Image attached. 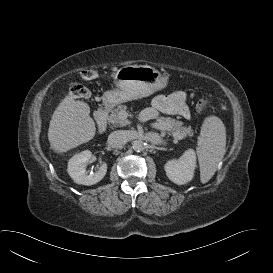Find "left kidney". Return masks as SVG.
<instances>
[{"label": "left kidney", "mask_w": 273, "mask_h": 273, "mask_svg": "<svg viewBox=\"0 0 273 273\" xmlns=\"http://www.w3.org/2000/svg\"><path fill=\"white\" fill-rule=\"evenodd\" d=\"M195 167L196 155L189 149L179 159L168 161L165 164V171L172 182L183 185L192 180Z\"/></svg>", "instance_id": "left-kidney-1"}]
</instances>
